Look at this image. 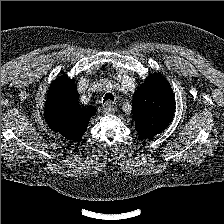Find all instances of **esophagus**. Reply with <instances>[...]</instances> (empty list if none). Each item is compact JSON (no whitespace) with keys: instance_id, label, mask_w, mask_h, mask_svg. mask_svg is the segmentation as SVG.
I'll return each instance as SVG.
<instances>
[{"instance_id":"esophagus-1","label":"esophagus","mask_w":224,"mask_h":224,"mask_svg":"<svg viewBox=\"0 0 224 224\" xmlns=\"http://www.w3.org/2000/svg\"><path fill=\"white\" fill-rule=\"evenodd\" d=\"M104 109L106 114H112L115 112V107L111 101L106 102Z\"/></svg>"}]
</instances>
